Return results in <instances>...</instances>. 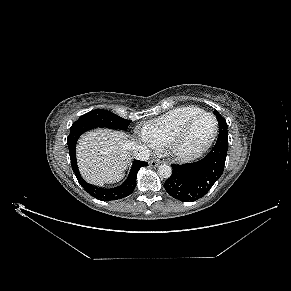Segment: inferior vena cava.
<instances>
[{
    "label": "inferior vena cava",
    "mask_w": 291,
    "mask_h": 291,
    "mask_svg": "<svg viewBox=\"0 0 291 291\" xmlns=\"http://www.w3.org/2000/svg\"><path fill=\"white\" fill-rule=\"evenodd\" d=\"M129 152L132 157L138 160L146 161L150 157V151L147 147L139 145L135 142L129 143Z\"/></svg>",
    "instance_id": "obj_1"
}]
</instances>
